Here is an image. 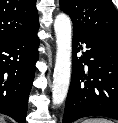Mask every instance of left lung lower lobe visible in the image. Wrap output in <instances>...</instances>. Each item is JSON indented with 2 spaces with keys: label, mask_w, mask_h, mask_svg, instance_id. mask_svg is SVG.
<instances>
[{
  "label": "left lung lower lobe",
  "mask_w": 118,
  "mask_h": 123,
  "mask_svg": "<svg viewBox=\"0 0 118 123\" xmlns=\"http://www.w3.org/2000/svg\"><path fill=\"white\" fill-rule=\"evenodd\" d=\"M88 116L118 120V44L74 31L72 78L62 123Z\"/></svg>",
  "instance_id": "0a47b994"
}]
</instances>
